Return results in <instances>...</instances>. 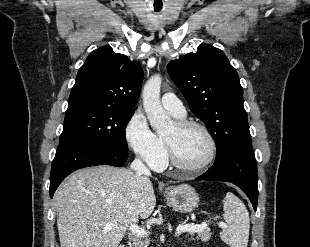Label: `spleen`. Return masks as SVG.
I'll return each mask as SVG.
<instances>
[{
	"instance_id": "1",
	"label": "spleen",
	"mask_w": 310,
	"mask_h": 247,
	"mask_svg": "<svg viewBox=\"0 0 310 247\" xmlns=\"http://www.w3.org/2000/svg\"><path fill=\"white\" fill-rule=\"evenodd\" d=\"M223 211L226 226L220 232V238L230 247H247L250 219L245 205L228 192L223 199Z\"/></svg>"
}]
</instances>
